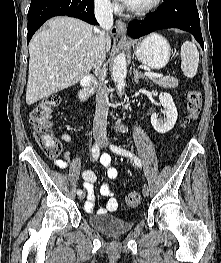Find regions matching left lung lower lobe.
Listing matches in <instances>:
<instances>
[{"label":"left lung lower lobe","instance_id":"obj_1","mask_svg":"<svg viewBox=\"0 0 221 263\" xmlns=\"http://www.w3.org/2000/svg\"><path fill=\"white\" fill-rule=\"evenodd\" d=\"M164 28H179L190 32L204 49L196 0H164L145 19L131 21L127 34L139 38Z\"/></svg>","mask_w":221,"mask_h":263}]
</instances>
